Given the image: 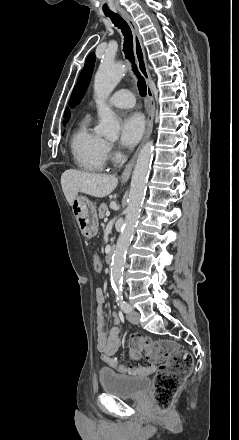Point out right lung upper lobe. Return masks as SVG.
I'll return each instance as SVG.
<instances>
[{"label":"right lung upper lobe","mask_w":239,"mask_h":440,"mask_svg":"<svg viewBox=\"0 0 239 440\" xmlns=\"http://www.w3.org/2000/svg\"><path fill=\"white\" fill-rule=\"evenodd\" d=\"M64 117H65V119H66V120H68V119H69V117H70V112H69V110H68V109H66V110H65V114H64Z\"/></svg>","instance_id":"obj_1"}]
</instances>
